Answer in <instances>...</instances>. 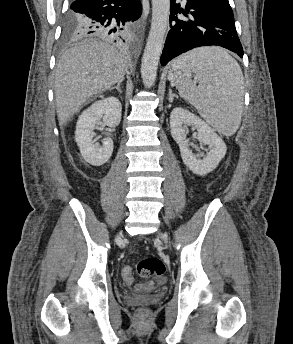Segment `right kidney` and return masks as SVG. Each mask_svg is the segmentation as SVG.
<instances>
[{
	"instance_id": "ca27d5eb",
	"label": "right kidney",
	"mask_w": 293,
	"mask_h": 344,
	"mask_svg": "<svg viewBox=\"0 0 293 344\" xmlns=\"http://www.w3.org/2000/svg\"><path fill=\"white\" fill-rule=\"evenodd\" d=\"M122 106L115 97H108L94 102L79 116L75 140L79 146L82 157L93 166H101L106 163L113 152V141L107 137L102 140V146L94 144L93 130L96 125H106L114 128L120 124ZM102 119V120H101Z\"/></svg>"
}]
</instances>
